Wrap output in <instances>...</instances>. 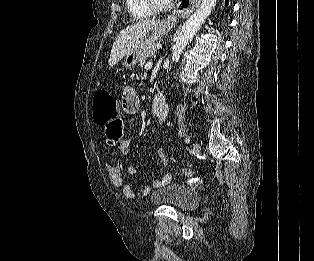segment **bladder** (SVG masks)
I'll list each match as a JSON object with an SVG mask.
<instances>
[{"label":"bladder","instance_id":"bladder-1","mask_svg":"<svg viewBox=\"0 0 314 261\" xmlns=\"http://www.w3.org/2000/svg\"><path fill=\"white\" fill-rule=\"evenodd\" d=\"M150 200L155 205L173 207L182 211H192L198 207V193L182 184H166L152 192Z\"/></svg>","mask_w":314,"mask_h":261}]
</instances>
